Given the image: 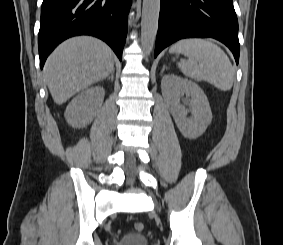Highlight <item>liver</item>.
Returning <instances> with one entry per match:
<instances>
[{
	"label": "liver",
	"mask_w": 283,
	"mask_h": 245,
	"mask_svg": "<svg viewBox=\"0 0 283 245\" xmlns=\"http://www.w3.org/2000/svg\"><path fill=\"white\" fill-rule=\"evenodd\" d=\"M114 69L112 50L101 40L68 39L48 57L43 69L54 102L62 105L76 93L104 80Z\"/></svg>",
	"instance_id": "6515ba94"
}]
</instances>
